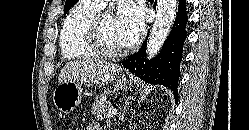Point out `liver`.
I'll use <instances>...</instances> for the list:
<instances>
[{
	"mask_svg": "<svg viewBox=\"0 0 249 130\" xmlns=\"http://www.w3.org/2000/svg\"><path fill=\"white\" fill-rule=\"evenodd\" d=\"M122 70L121 66L99 59H84L68 62L61 69L58 83L90 82L107 84Z\"/></svg>",
	"mask_w": 249,
	"mask_h": 130,
	"instance_id": "6515ba94",
	"label": "liver"
}]
</instances>
